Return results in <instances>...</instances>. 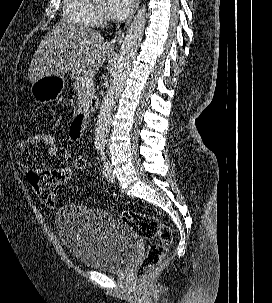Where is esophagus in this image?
I'll list each match as a JSON object with an SVG mask.
<instances>
[{
  "label": "esophagus",
  "mask_w": 272,
  "mask_h": 303,
  "mask_svg": "<svg viewBox=\"0 0 272 303\" xmlns=\"http://www.w3.org/2000/svg\"><path fill=\"white\" fill-rule=\"evenodd\" d=\"M139 4H140V0H135V3H134V8L130 14V16L125 19L123 22H121L120 24H118V26L116 27V30H115V39L111 42L113 45L121 42L122 40V37L124 35V31L126 30V28L129 26L130 22L132 21L138 7H139Z\"/></svg>",
  "instance_id": "34e87169"
}]
</instances>
